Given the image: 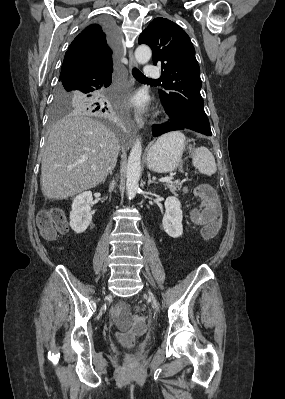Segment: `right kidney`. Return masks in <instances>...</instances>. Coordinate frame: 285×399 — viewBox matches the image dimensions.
I'll return each instance as SVG.
<instances>
[{
    "label": "right kidney",
    "mask_w": 285,
    "mask_h": 399,
    "mask_svg": "<svg viewBox=\"0 0 285 399\" xmlns=\"http://www.w3.org/2000/svg\"><path fill=\"white\" fill-rule=\"evenodd\" d=\"M92 201L91 191L83 192L73 200L70 212V227L76 234L85 232L92 221Z\"/></svg>",
    "instance_id": "obj_1"
}]
</instances>
